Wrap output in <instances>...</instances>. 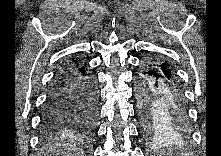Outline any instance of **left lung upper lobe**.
Instances as JSON below:
<instances>
[{
	"label": "left lung upper lobe",
	"mask_w": 221,
	"mask_h": 156,
	"mask_svg": "<svg viewBox=\"0 0 221 156\" xmlns=\"http://www.w3.org/2000/svg\"><path fill=\"white\" fill-rule=\"evenodd\" d=\"M146 62H150V63L156 64L157 66L163 67L164 69H166L168 71L169 70L172 71V68H171L170 64L168 62L162 60L161 58L149 57L148 59H146Z\"/></svg>",
	"instance_id": "5c2ea615"
}]
</instances>
